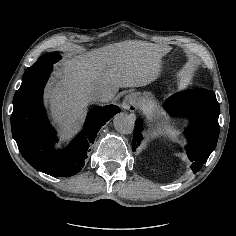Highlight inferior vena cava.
Instances as JSON below:
<instances>
[{"mask_svg":"<svg viewBox=\"0 0 236 236\" xmlns=\"http://www.w3.org/2000/svg\"><path fill=\"white\" fill-rule=\"evenodd\" d=\"M113 97L111 92H107L105 89L100 88L93 92L91 99L95 101L108 102Z\"/></svg>","mask_w":236,"mask_h":236,"instance_id":"602c4592","label":"inferior vena cava"}]
</instances>
